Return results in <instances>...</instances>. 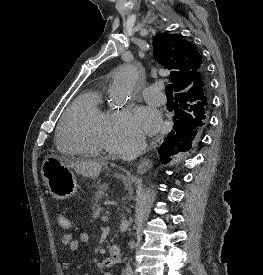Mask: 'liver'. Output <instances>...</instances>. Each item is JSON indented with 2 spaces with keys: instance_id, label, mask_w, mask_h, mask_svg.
I'll use <instances>...</instances> for the list:
<instances>
[{
  "instance_id": "1",
  "label": "liver",
  "mask_w": 263,
  "mask_h": 275,
  "mask_svg": "<svg viewBox=\"0 0 263 275\" xmlns=\"http://www.w3.org/2000/svg\"><path fill=\"white\" fill-rule=\"evenodd\" d=\"M57 157V156H55ZM60 158V157H57ZM63 160V158H60ZM66 166L74 169L76 173L83 175L84 177L97 178L102 170V165L99 162L88 161H65Z\"/></svg>"
}]
</instances>
